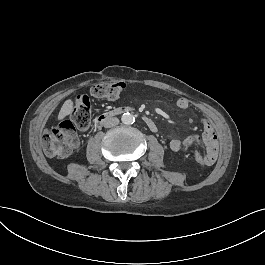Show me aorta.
Returning <instances> with one entry per match:
<instances>
[{"label":"aorta","instance_id":"obj_1","mask_svg":"<svg viewBox=\"0 0 265 265\" xmlns=\"http://www.w3.org/2000/svg\"><path fill=\"white\" fill-rule=\"evenodd\" d=\"M135 122V117L131 113H124L122 115V123L125 125H132Z\"/></svg>","mask_w":265,"mask_h":265}]
</instances>
